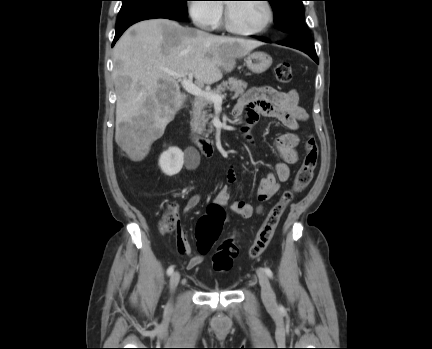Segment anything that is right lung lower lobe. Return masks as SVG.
I'll list each match as a JSON object with an SVG mask.
<instances>
[{"label":"right lung lower lobe","instance_id":"right-lung-lower-lobe-1","mask_svg":"<svg viewBox=\"0 0 432 349\" xmlns=\"http://www.w3.org/2000/svg\"><path fill=\"white\" fill-rule=\"evenodd\" d=\"M155 18H166V19H171V20H175L174 18L161 14V13H157V12H144V13H139L127 18H123L118 20L117 24H116V28H115V37H114V41L112 46H114V44L116 43V41L119 39V37L123 34V32L132 24L142 21V20H147V19H155Z\"/></svg>","mask_w":432,"mask_h":349}]
</instances>
